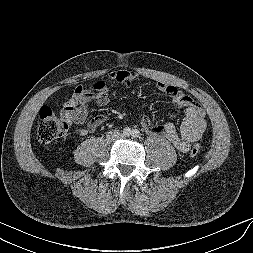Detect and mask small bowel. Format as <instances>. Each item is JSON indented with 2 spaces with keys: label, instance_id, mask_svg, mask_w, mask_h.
I'll list each match as a JSON object with an SVG mask.
<instances>
[{
  "label": "small bowel",
  "instance_id": "c3829d8e",
  "mask_svg": "<svg viewBox=\"0 0 253 253\" xmlns=\"http://www.w3.org/2000/svg\"><path fill=\"white\" fill-rule=\"evenodd\" d=\"M137 74L131 70H116L111 73L113 81L130 85ZM160 92L166 94L174 104L185 108L180 129L173 123L154 126L147 115L141 117L143 129L152 136L166 137L180 152H188L191 144L203 138L207 128L204 110L187 94L175 85L164 81L157 82ZM92 90H95L94 92ZM109 87L105 82H96L90 85L77 86L70 98L63 105L61 115L70 125H75V133L85 136L95 132L105 121L106 117L98 115L93 117L85 127H81L88 118L92 106L104 107L109 103Z\"/></svg>",
  "mask_w": 253,
  "mask_h": 253
}]
</instances>
